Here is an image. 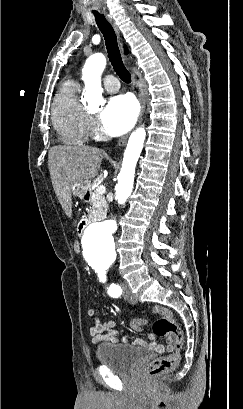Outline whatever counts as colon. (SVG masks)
<instances>
[{
    "label": "colon",
    "mask_w": 243,
    "mask_h": 409,
    "mask_svg": "<svg viewBox=\"0 0 243 409\" xmlns=\"http://www.w3.org/2000/svg\"><path fill=\"white\" fill-rule=\"evenodd\" d=\"M73 249L76 253L80 251L78 241L73 243ZM152 314L159 316L153 324L154 333L168 342H173L174 350L170 354L158 357L149 363L146 368V374L150 378L168 373L175 368L179 362L180 350L184 343L183 333L168 308L155 306ZM146 324L147 320L145 318L134 319L131 322V326L135 330H141Z\"/></svg>",
    "instance_id": "colon-1"
}]
</instances>
